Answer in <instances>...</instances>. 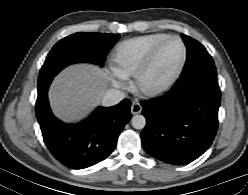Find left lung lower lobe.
<instances>
[{
    "mask_svg": "<svg viewBox=\"0 0 248 195\" xmlns=\"http://www.w3.org/2000/svg\"><path fill=\"white\" fill-rule=\"evenodd\" d=\"M220 99L217 78L207 77L178 80L163 96L142 102L147 120L141 133L144 150L174 165L200 157L215 137Z\"/></svg>",
    "mask_w": 248,
    "mask_h": 195,
    "instance_id": "0a47b994",
    "label": "left lung lower lobe"
}]
</instances>
